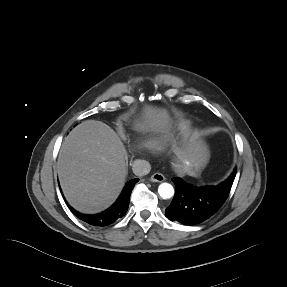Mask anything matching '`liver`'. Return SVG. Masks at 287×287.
<instances>
[{"label": "liver", "mask_w": 287, "mask_h": 287, "mask_svg": "<svg viewBox=\"0 0 287 287\" xmlns=\"http://www.w3.org/2000/svg\"><path fill=\"white\" fill-rule=\"evenodd\" d=\"M172 122L166 109L146 106L134 123L139 132L160 133L172 140ZM179 175H194L192 170L208 161L206 146L195 137L184 136L180 146L173 141ZM127 151L117 133L101 121L87 120L65 138L58 158V176L69 204L83 213H97L119 196L127 175Z\"/></svg>", "instance_id": "1"}]
</instances>
